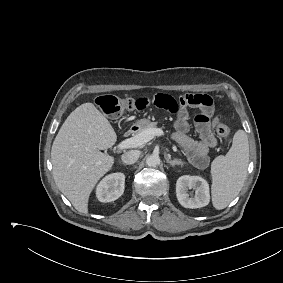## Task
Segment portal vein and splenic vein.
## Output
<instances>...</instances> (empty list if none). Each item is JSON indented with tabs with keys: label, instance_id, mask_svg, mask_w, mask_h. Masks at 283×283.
<instances>
[{
	"label": "portal vein and splenic vein",
	"instance_id": "1",
	"mask_svg": "<svg viewBox=\"0 0 283 283\" xmlns=\"http://www.w3.org/2000/svg\"><path fill=\"white\" fill-rule=\"evenodd\" d=\"M164 132L160 128H150L120 142L117 146L118 150L140 147L148 141L152 140L155 136H162Z\"/></svg>",
	"mask_w": 283,
	"mask_h": 283
}]
</instances>
